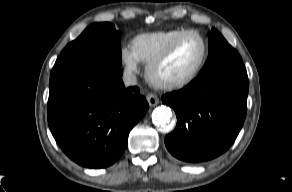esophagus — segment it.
Masks as SVG:
<instances>
[{"instance_id":"esophagus-1","label":"esophagus","mask_w":292,"mask_h":192,"mask_svg":"<svg viewBox=\"0 0 292 192\" xmlns=\"http://www.w3.org/2000/svg\"><path fill=\"white\" fill-rule=\"evenodd\" d=\"M146 99H147V101H148V103H149V105L151 107H154L159 103L158 97L155 94H152V93L148 94L146 96Z\"/></svg>"}]
</instances>
